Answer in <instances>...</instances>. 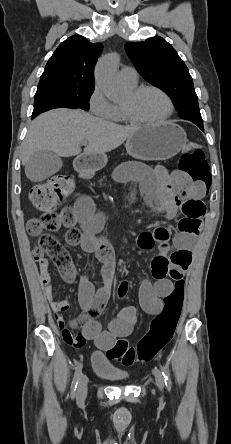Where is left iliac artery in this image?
I'll list each match as a JSON object with an SVG mask.
<instances>
[{
  "mask_svg": "<svg viewBox=\"0 0 231 444\" xmlns=\"http://www.w3.org/2000/svg\"><path fill=\"white\" fill-rule=\"evenodd\" d=\"M160 368H161L162 375L164 376V379H165V385L168 388V390L170 391L171 390V379L169 377V372L167 371L166 367H164L162 365H160Z\"/></svg>",
  "mask_w": 231,
  "mask_h": 444,
  "instance_id": "1",
  "label": "left iliac artery"
}]
</instances>
